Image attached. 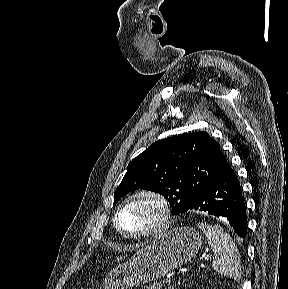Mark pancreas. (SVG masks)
Returning a JSON list of instances; mask_svg holds the SVG:
<instances>
[{"label": "pancreas", "mask_w": 288, "mask_h": 289, "mask_svg": "<svg viewBox=\"0 0 288 289\" xmlns=\"http://www.w3.org/2000/svg\"><path fill=\"white\" fill-rule=\"evenodd\" d=\"M162 285L154 283L151 286L146 287L145 289H161Z\"/></svg>", "instance_id": "cf45deb5"}]
</instances>
